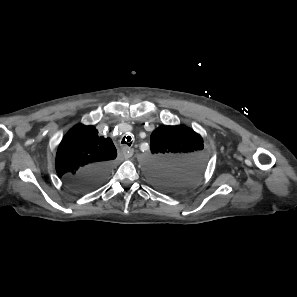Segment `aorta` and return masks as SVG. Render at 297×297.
Segmentation results:
<instances>
[{
  "label": "aorta",
  "instance_id": "aorta-1",
  "mask_svg": "<svg viewBox=\"0 0 297 297\" xmlns=\"http://www.w3.org/2000/svg\"><path fill=\"white\" fill-rule=\"evenodd\" d=\"M153 164H154V160H153V158H150L149 159V168H148V173H149L150 177H151V173L153 171Z\"/></svg>",
  "mask_w": 297,
  "mask_h": 297
}]
</instances>
